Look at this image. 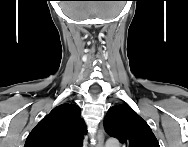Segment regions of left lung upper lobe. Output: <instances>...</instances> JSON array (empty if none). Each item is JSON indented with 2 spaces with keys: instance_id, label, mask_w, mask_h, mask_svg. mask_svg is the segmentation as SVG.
Masks as SVG:
<instances>
[{
  "instance_id": "obj_1",
  "label": "left lung upper lobe",
  "mask_w": 188,
  "mask_h": 147,
  "mask_svg": "<svg viewBox=\"0 0 188 147\" xmlns=\"http://www.w3.org/2000/svg\"><path fill=\"white\" fill-rule=\"evenodd\" d=\"M104 126L106 132L119 139L124 147H160L149 125L128 105L111 107Z\"/></svg>"
}]
</instances>
